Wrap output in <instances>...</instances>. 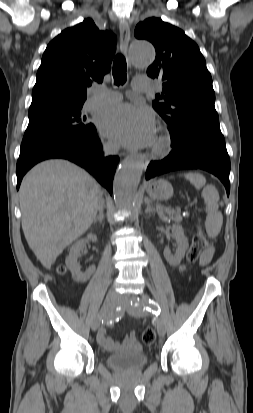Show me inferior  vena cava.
I'll return each mask as SVG.
<instances>
[{
	"mask_svg": "<svg viewBox=\"0 0 253 413\" xmlns=\"http://www.w3.org/2000/svg\"><path fill=\"white\" fill-rule=\"evenodd\" d=\"M117 151V148L115 146H107L105 148V153L106 154H112L115 153ZM103 208V201L100 199L99 200V212L102 211Z\"/></svg>",
	"mask_w": 253,
	"mask_h": 413,
	"instance_id": "602c4592",
	"label": "inferior vena cava"
}]
</instances>
